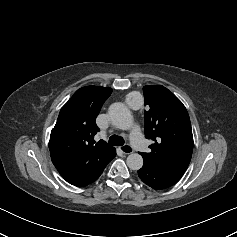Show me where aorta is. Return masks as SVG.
<instances>
[{"instance_id":"aorta-1","label":"aorta","mask_w":237,"mask_h":237,"mask_svg":"<svg viewBox=\"0 0 237 237\" xmlns=\"http://www.w3.org/2000/svg\"><path fill=\"white\" fill-rule=\"evenodd\" d=\"M109 117L114 126L119 129L127 130L133 124L130 110L123 103H114L109 108ZM127 166L131 170H139L143 166V158L138 153H132L127 157Z\"/></svg>"}]
</instances>
